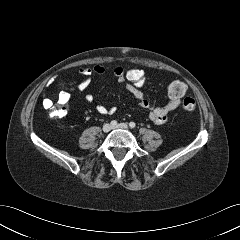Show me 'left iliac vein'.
<instances>
[{"label": "left iliac vein", "instance_id": "obj_1", "mask_svg": "<svg viewBox=\"0 0 240 240\" xmlns=\"http://www.w3.org/2000/svg\"><path fill=\"white\" fill-rule=\"evenodd\" d=\"M113 129H128V125L125 123H120L112 127Z\"/></svg>", "mask_w": 240, "mask_h": 240}]
</instances>
